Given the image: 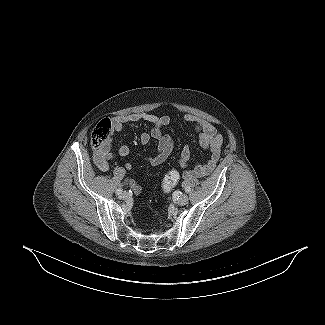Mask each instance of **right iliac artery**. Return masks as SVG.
Returning a JSON list of instances; mask_svg holds the SVG:
<instances>
[{
  "label": "right iliac artery",
  "instance_id": "right-iliac-artery-1",
  "mask_svg": "<svg viewBox=\"0 0 325 325\" xmlns=\"http://www.w3.org/2000/svg\"><path fill=\"white\" fill-rule=\"evenodd\" d=\"M117 195L121 194L122 193V188H118L115 192Z\"/></svg>",
  "mask_w": 325,
  "mask_h": 325
}]
</instances>
